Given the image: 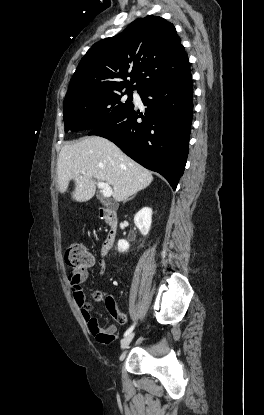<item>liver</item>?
Masks as SVG:
<instances>
[{"label": "liver", "instance_id": "obj_1", "mask_svg": "<svg viewBox=\"0 0 264 415\" xmlns=\"http://www.w3.org/2000/svg\"><path fill=\"white\" fill-rule=\"evenodd\" d=\"M57 175L61 193L66 192L69 182L74 180L72 199L76 202H86L94 196L95 180L111 185L117 202L126 200L153 181L149 170L99 136L64 145L57 161Z\"/></svg>", "mask_w": 264, "mask_h": 415}]
</instances>
